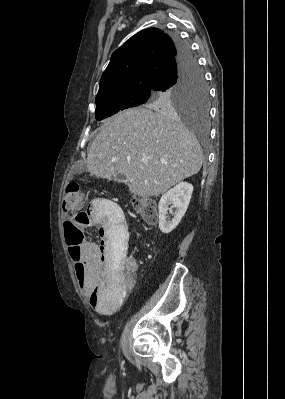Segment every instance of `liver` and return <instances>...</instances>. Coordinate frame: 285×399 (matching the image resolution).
<instances>
[{
	"mask_svg": "<svg viewBox=\"0 0 285 399\" xmlns=\"http://www.w3.org/2000/svg\"><path fill=\"white\" fill-rule=\"evenodd\" d=\"M203 152L174 114L136 108L106 120L88 149L86 166L97 177L121 173L133 195L158 196L197 174Z\"/></svg>",
	"mask_w": 285,
	"mask_h": 399,
	"instance_id": "6515ba94",
	"label": "liver"
}]
</instances>
